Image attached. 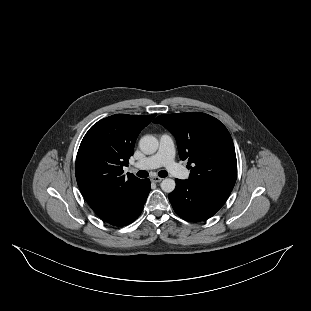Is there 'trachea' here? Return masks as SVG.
<instances>
[{
	"instance_id": "3493384b",
	"label": "trachea",
	"mask_w": 311,
	"mask_h": 311,
	"mask_svg": "<svg viewBox=\"0 0 311 311\" xmlns=\"http://www.w3.org/2000/svg\"><path fill=\"white\" fill-rule=\"evenodd\" d=\"M158 175L161 178H165V177H167L168 172L166 170H161V171H159ZM137 176L140 177V178H147L148 177V172L145 171V170H139L137 172Z\"/></svg>"
}]
</instances>
